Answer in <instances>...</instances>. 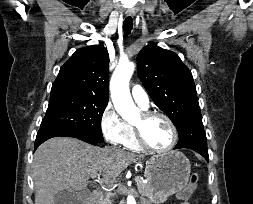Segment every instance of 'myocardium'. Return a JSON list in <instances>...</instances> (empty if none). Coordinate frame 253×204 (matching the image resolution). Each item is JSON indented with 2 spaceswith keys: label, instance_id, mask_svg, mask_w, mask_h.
Instances as JSON below:
<instances>
[{
  "label": "myocardium",
  "instance_id": "obj_1",
  "mask_svg": "<svg viewBox=\"0 0 253 204\" xmlns=\"http://www.w3.org/2000/svg\"><path fill=\"white\" fill-rule=\"evenodd\" d=\"M141 115H142V118L144 121H148V120L156 118V117L163 118L170 126V129L172 132V140H171L170 144L163 149L153 148L145 140L142 128L140 126L133 125L135 137H136V140H137L138 144L140 145V147L142 149H145V150L152 152V153H167V152L171 151L176 146L177 141H178V131H177V128H176L174 122L171 120V118L161 112H144Z\"/></svg>",
  "mask_w": 253,
  "mask_h": 204
}]
</instances>
